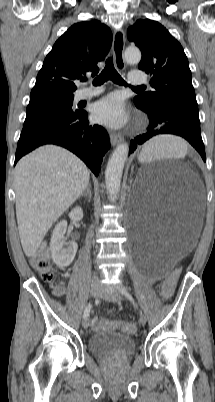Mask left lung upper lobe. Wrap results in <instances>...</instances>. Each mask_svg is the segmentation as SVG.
Instances as JSON below:
<instances>
[{
  "mask_svg": "<svg viewBox=\"0 0 215 402\" xmlns=\"http://www.w3.org/2000/svg\"><path fill=\"white\" fill-rule=\"evenodd\" d=\"M127 37L142 53L138 68L151 75L153 92L136 96L134 101L150 105H172L198 114L191 71L180 43L160 23L139 19L128 28Z\"/></svg>",
  "mask_w": 215,
  "mask_h": 402,
  "instance_id": "obj_1",
  "label": "left lung upper lobe"
}]
</instances>
